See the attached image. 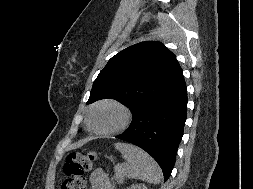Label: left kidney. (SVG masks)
<instances>
[{
  "label": "left kidney",
  "mask_w": 253,
  "mask_h": 189,
  "mask_svg": "<svg viewBox=\"0 0 253 189\" xmlns=\"http://www.w3.org/2000/svg\"><path fill=\"white\" fill-rule=\"evenodd\" d=\"M127 189H148L145 184H133Z\"/></svg>",
  "instance_id": "left-kidney-1"
}]
</instances>
